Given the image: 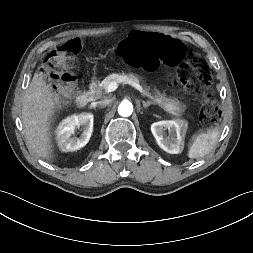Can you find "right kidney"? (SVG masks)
<instances>
[{
    "instance_id": "ca27d5eb",
    "label": "right kidney",
    "mask_w": 253,
    "mask_h": 253,
    "mask_svg": "<svg viewBox=\"0 0 253 253\" xmlns=\"http://www.w3.org/2000/svg\"><path fill=\"white\" fill-rule=\"evenodd\" d=\"M93 114L72 115L65 118L57 127L56 139L63 152H72L84 147L93 131ZM82 127L83 133L79 138L74 137L75 130Z\"/></svg>"
}]
</instances>
